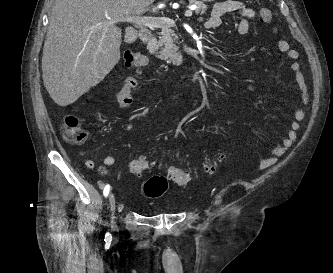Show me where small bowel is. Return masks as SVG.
<instances>
[{
	"instance_id": "small-bowel-1",
	"label": "small bowel",
	"mask_w": 333,
	"mask_h": 273,
	"mask_svg": "<svg viewBox=\"0 0 333 273\" xmlns=\"http://www.w3.org/2000/svg\"><path fill=\"white\" fill-rule=\"evenodd\" d=\"M230 12H235L238 15V22L235 28L236 33L241 36L248 35L250 32V21L256 17V11L245 6L240 0H223L216 3L213 7L209 20L206 22V27L210 29L218 28L221 25L222 17ZM277 47L278 50L281 53H284L289 59H298L299 53L292 49L287 41H278ZM148 67V62H140L139 67H136L135 76H140V72H143V69H148ZM291 69L293 71L294 79L299 90L298 106L294 112L293 120L291 121L290 128L286 136L274 145L268 157L261 161L259 165L260 168H265L275 164L279 158L285 154L288 148H290L296 141L297 130L301 127V122L305 117V111L303 107L308 103V93L305 85V78L298 63L292 64ZM272 76V74H268L264 76V79H271ZM244 89L247 91L255 90L253 86L248 84L244 85ZM136 90V80L132 77L127 78L125 84H122L121 88H119V92L116 96L119 105L122 107H129L132 104L130 91ZM178 97H181V95ZM212 113L215 116H218V112L215 109H212ZM81 155L84 158V164L87 167H92L94 165V161L88 157L85 152H81ZM115 162L116 157L114 155H108L103 159V164L105 166H112Z\"/></svg>"
}]
</instances>
